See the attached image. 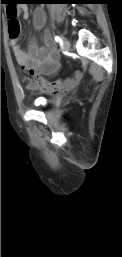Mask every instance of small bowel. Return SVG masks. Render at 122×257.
<instances>
[{
    "label": "small bowel",
    "instance_id": "c3829d8e",
    "mask_svg": "<svg viewBox=\"0 0 122 257\" xmlns=\"http://www.w3.org/2000/svg\"><path fill=\"white\" fill-rule=\"evenodd\" d=\"M17 14H22L24 19H29L30 14L27 6L16 8ZM8 15V10H7ZM46 23V13L44 9L37 8L33 13V26L36 30H41ZM45 46H38L31 42L29 50L25 51L19 44L17 37L10 38V46L17 63L31 75H54L59 70V55L52 43L49 34L44 35Z\"/></svg>",
    "mask_w": 122,
    "mask_h": 257
}]
</instances>
